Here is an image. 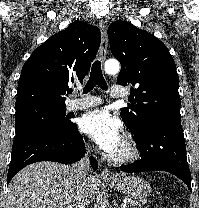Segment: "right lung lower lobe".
I'll use <instances>...</instances> for the list:
<instances>
[{"label":"right lung lower lobe","mask_w":199,"mask_h":208,"mask_svg":"<svg viewBox=\"0 0 199 208\" xmlns=\"http://www.w3.org/2000/svg\"><path fill=\"white\" fill-rule=\"evenodd\" d=\"M85 154V144L76 125L59 133L45 128H26L16 132L12 146L7 184L23 167L38 161H55L71 164ZM91 167L98 168L91 157Z\"/></svg>","instance_id":"right-lung-lower-lobe-1"}]
</instances>
